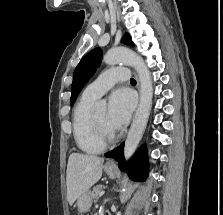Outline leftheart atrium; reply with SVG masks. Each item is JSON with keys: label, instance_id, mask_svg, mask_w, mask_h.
I'll list each match as a JSON object with an SVG mask.
<instances>
[{"label": "left heart atrium", "instance_id": "obj_1", "mask_svg": "<svg viewBox=\"0 0 223 215\" xmlns=\"http://www.w3.org/2000/svg\"><path fill=\"white\" fill-rule=\"evenodd\" d=\"M134 100L127 89H119L109 97L107 122L113 129L125 126L130 118Z\"/></svg>", "mask_w": 223, "mask_h": 215}]
</instances>
